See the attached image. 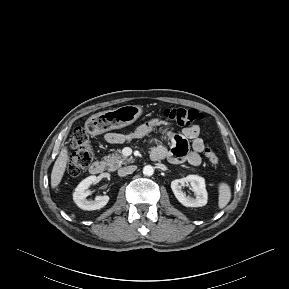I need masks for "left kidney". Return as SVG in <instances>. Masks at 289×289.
Returning a JSON list of instances; mask_svg holds the SVG:
<instances>
[{
    "instance_id": "5707ae66",
    "label": "left kidney",
    "mask_w": 289,
    "mask_h": 289,
    "mask_svg": "<svg viewBox=\"0 0 289 289\" xmlns=\"http://www.w3.org/2000/svg\"><path fill=\"white\" fill-rule=\"evenodd\" d=\"M190 183L192 190L196 194V198L186 196L182 192V186L185 183ZM171 189L177 200L186 207H202L207 204V191L205 187V180L198 175H188L181 179H175L171 182Z\"/></svg>"
}]
</instances>
